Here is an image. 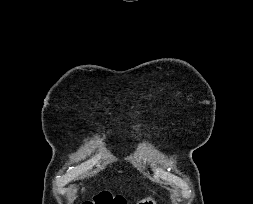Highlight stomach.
Returning a JSON list of instances; mask_svg holds the SVG:
<instances>
[{
	"label": "stomach",
	"mask_w": 253,
	"mask_h": 204,
	"mask_svg": "<svg viewBox=\"0 0 253 204\" xmlns=\"http://www.w3.org/2000/svg\"><path fill=\"white\" fill-rule=\"evenodd\" d=\"M153 193L155 192L153 191ZM137 204H156V201L152 197H147L140 200Z\"/></svg>",
	"instance_id": "stomach-1"
}]
</instances>
